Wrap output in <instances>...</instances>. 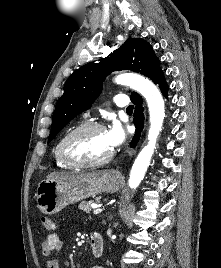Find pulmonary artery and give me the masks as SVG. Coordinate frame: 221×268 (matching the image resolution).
Segmentation results:
<instances>
[{
  "label": "pulmonary artery",
  "mask_w": 221,
  "mask_h": 268,
  "mask_svg": "<svg viewBox=\"0 0 221 268\" xmlns=\"http://www.w3.org/2000/svg\"><path fill=\"white\" fill-rule=\"evenodd\" d=\"M114 103L119 107H125L129 104V99L124 94H118L114 97Z\"/></svg>",
  "instance_id": "1"
}]
</instances>
